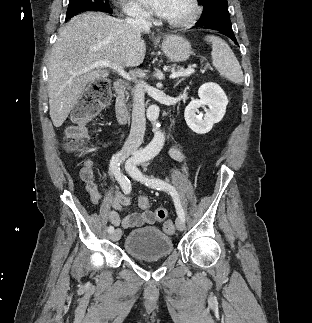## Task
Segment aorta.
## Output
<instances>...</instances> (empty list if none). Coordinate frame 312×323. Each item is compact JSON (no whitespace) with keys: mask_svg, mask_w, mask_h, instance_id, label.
I'll return each mask as SVG.
<instances>
[{"mask_svg":"<svg viewBox=\"0 0 312 323\" xmlns=\"http://www.w3.org/2000/svg\"><path fill=\"white\" fill-rule=\"evenodd\" d=\"M159 108L158 106H149L147 110V118L151 124H153V130L155 132L152 142L147 146L149 154H158L162 150L165 142L164 132L160 130V124L157 122L159 118Z\"/></svg>","mask_w":312,"mask_h":323,"instance_id":"aorta-1","label":"aorta"}]
</instances>
